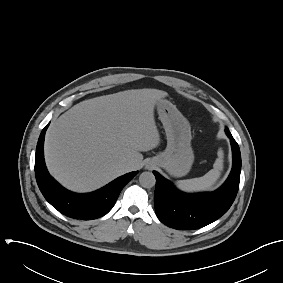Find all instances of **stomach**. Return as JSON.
I'll list each match as a JSON object with an SVG mask.
<instances>
[{
    "instance_id": "obj_1",
    "label": "stomach",
    "mask_w": 283,
    "mask_h": 283,
    "mask_svg": "<svg viewBox=\"0 0 283 283\" xmlns=\"http://www.w3.org/2000/svg\"><path fill=\"white\" fill-rule=\"evenodd\" d=\"M157 111L165 129L167 147L151 161L174 177L185 176L194 162L191 127L188 120L170 101L157 102Z\"/></svg>"
}]
</instances>
